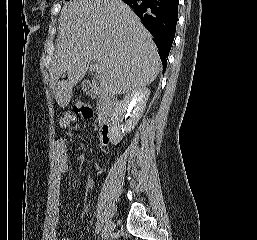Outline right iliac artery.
<instances>
[{
    "instance_id": "obj_1",
    "label": "right iliac artery",
    "mask_w": 257,
    "mask_h": 240,
    "mask_svg": "<svg viewBox=\"0 0 257 240\" xmlns=\"http://www.w3.org/2000/svg\"><path fill=\"white\" fill-rule=\"evenodd\" d=\"M100 230H101V223H97L96 224V228H95V231H96V233L98 234L99 232H100Z\"/></svg>"
}]
</instances>
